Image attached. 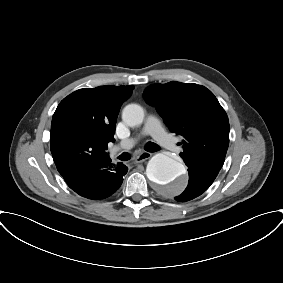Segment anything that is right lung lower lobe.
Returning <instances> with one entry per match:
<instances>
[{
  "mask_svg": "<svg viewBox=\"0 0 283 283\" xmlns=\"http://www.w3.org/2000/svg\"><path fill=\"white\" fill-rule=\"evenodd\" d=\"M126 173L127 167L124 164H112L110 157L105 156L72 170L63 178L77 194L96 200L116 192Z\"/></svg>",
  "mask_w": 283,
  "mask_h": 283,
  "instance_id": "right-lung-lower-lobe-1",
  "label": "right lung lower lobe"
}]
</instances>
